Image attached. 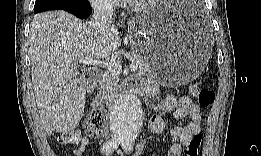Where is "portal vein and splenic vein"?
<instances>
[{
  "label": "portal vein and splenic vein",
  "mask_w": 261,
  "mask_h": 156,
  "mask_svg": "<svg viewBox=\"0 0 261 156\" xmlns=\"http://www.w3.org/2000/svg\"><path fill=\"white\" fill-rule=\"evenodd\" d=\"M75 64H83V65H99L103 66L107 70L111 71L112 73L115 74H120L122 73V65L119 63H113V62H104L100 61L99 59H93V58H80ZM130 70L136 71L137 70V65L135 64H130Z\"/></svg>",
  "instance_id": "1"
}]
</instances>
